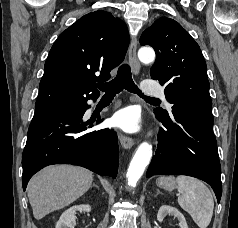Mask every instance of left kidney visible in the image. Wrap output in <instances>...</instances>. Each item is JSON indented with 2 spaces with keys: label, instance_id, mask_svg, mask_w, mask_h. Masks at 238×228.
Instances as JSON below:
<instances>
[{
  "label": "left kidney",
  "instance_id": "left-kidney-1",
  "mask_svg": "<svg viewBox=\"0 0 238 228\" xmlns=\"http://www.w3.org/2000/svg\"><path fill=\"white\" fill-rule=\"evenodd\" d=\"M167 215L176 217L179 221L180 228H188L185 217L175 207L169 205H162L157 213V220L163 222Z\"/></svg>",
  "mask_w": 238,
  "mask_h": 228
}]
</instances>
